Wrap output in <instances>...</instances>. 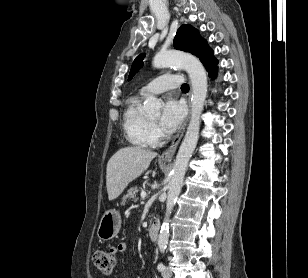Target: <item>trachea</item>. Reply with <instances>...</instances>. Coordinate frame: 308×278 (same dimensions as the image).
<instances>
[{
    "mask_svg": "<svg viewBox=\"0 0 308 278\" xmlns=\"http://www.w3.org/2000/svg\"><path fill=\"white\" fill-rule=\"evenodd\" d=\"M181 89L184 90V91H188L189 90V85L185 83V84H183L181 86Z\"/></svg>",
    "mask_w": 308,
    "mask_h": 278,
    "instance_id": "1",
    "label": "trachea"
}]
</instances>
